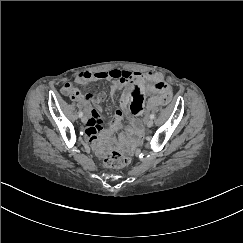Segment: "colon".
Here are the masks:
<instances>
[{
	"label": "colon",
	"instance_id": "1",
	"mask_svg": "<svg viewBox=\"0 0 243 243\" xmlns=\"http://www.w3.org/2000/svg\"><path fill=\"white\" fill-rule=\"evenodd\" d=\"M74 92L77 93L78 90L75 89ZM169 101H170V98H168V97L164 98L163 105L168 104ZM123 104L126 108H129L128 99L124 98ZM128 163H129V158L125 154H123L122 152L117 151V150L111 151L104 160V164L110 168H122V167H125Z\"/></svg>",
	"mask_w": 243,
	"mask_h": 243
}]
</instances>
